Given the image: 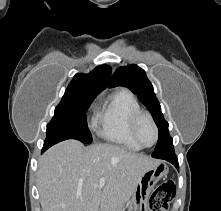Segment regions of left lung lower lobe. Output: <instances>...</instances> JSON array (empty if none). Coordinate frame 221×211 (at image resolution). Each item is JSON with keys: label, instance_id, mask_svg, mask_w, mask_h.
Here are the masks:
<instances>
[{"label": "left lung lower lobe", "instance_id": "0a47b994", "mask_svg": "<svg viewBox=\"0 0 221 211\" xmlns=\"http://www.w3.org/2000/svg\"><path fill=\"white\" fill-rule=\"evenodd\" d=\"M159 159H164L166 161H169L170 163H172L177 169H179V165H178V160L175 154L173 155H169V156H163L162 158Z\"/></svg>", "mask_w": 221, "mask_h": 211}]
</instances>
